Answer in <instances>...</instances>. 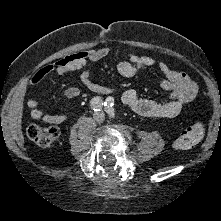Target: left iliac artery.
Segmentation results:
<instances>
[{
  "mask_svg": "<svg viewBox=\"0 0 221 221\" xmlns=\"http://www.w3.org/2000/svg\"><path fill=\"white\" fill-rule=\"evenodd\" d=\"M105 109H106V112L108 113L109 117L111 118H114L115 117V111H114V99L112 97H108L106 99V102H105Z\"/></svg>",
  "mask_w": 221,
  "mask_h": 221,
  "instance_id": "1",
  "label": "left iliac artery"
}]
</instances>
